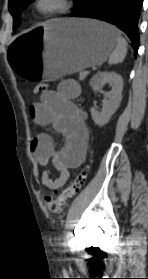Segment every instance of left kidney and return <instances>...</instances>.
<instances>
[{
  "label": "left kidney",
  "mask_w": 148,
  "mask_h": 279,
  "mask_svg": "<svg viewBox=\"0 0 148 279\" xmlns=\"http://www.w3.org/2000/svg\"><path fill=\"white\" fill-rule=\"evenodd\" d=\"M109 83L112 86V90L104 94L105 99L103 101L102 111L99 112L95 108L91 109V116L94 123L100 127L106 125L111 116L115 113L120 105L122 99L123 79L115 72H103L98 74L91 85L94 91L102 89V87Z\"/></svg>",
  "instance_id": "1"
}]
</instances>
